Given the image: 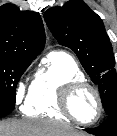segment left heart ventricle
<instances>
[{
    "label": "left heart ventricle",
    "mask_w": 117,
    "mask_h": 136,
    "mask_svg": "<svg viewBox=\"0 0 117 136\" xmlns=\"http://www.w3.org/2000/svg\"><path fill=\"white\" fill-rule=\"evenodd\" d=\"M73 110L76 116L81 120L92 121L95 119L98 106L93 93L90 91L79 93L74 99Z\"/></svg>",
    "instance_id": "b2bd125f"
}]
</instances>
